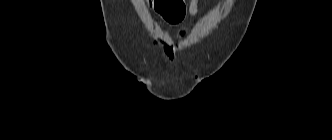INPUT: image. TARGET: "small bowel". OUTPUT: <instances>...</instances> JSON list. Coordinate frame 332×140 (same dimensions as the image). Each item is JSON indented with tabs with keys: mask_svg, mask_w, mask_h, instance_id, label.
I'll use <instances>...</instances> for the list:
<instances>
[{
	"mask_svg": "<svg viewBox=\"0 0 332 140\" xmlns=\"http://www.w3.org/2000/svg\"><path fill=\"white\" fill-rule=\"evenodd\" d=\"M198 5H199V0H190L188 13H189V16L193 19H195L197 17ZM183 18H184V16H183ZM183 18L178 21H168V22L172 23V24H178L183 20ZM186 32H187V29L185 27L181 28L178 33V39L179 40L182 39L185 36ZM163 50H164V53L166 54V56L170 60H173L175 57V54H176L175 42L170 38H165L163 41Z\"/></svg>",
	"mask_w": 332,
	"mask_h": 140,
	"instance_id": "small-bowel-1",
	"label": "small bowel"
}]
</instances>
